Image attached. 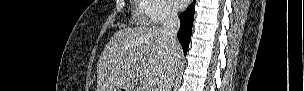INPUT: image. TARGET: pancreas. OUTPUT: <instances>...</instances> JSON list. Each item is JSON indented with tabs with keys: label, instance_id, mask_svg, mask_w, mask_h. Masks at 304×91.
<instances>
[{
	"label": "pancreas",
	"instance_id": "1",
	"mask_svg": "<svg viewBox=\"0 0 304 91\" xmlns=\"http://www.w3.org/2000/svg\"><path fill=\"white\" fill-rule=\"evenodd\" d=\"M143 91H151V89H150V87L145 86V87H143Z\"/></svg>",
	"mask_w": 304,
	"mask_h": 91
}]
</instances>
